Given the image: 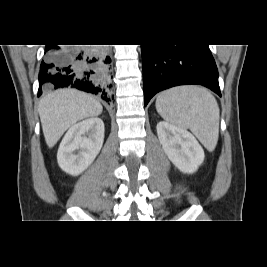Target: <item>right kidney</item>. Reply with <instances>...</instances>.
Instances as JSON below:
<instances>
[{
  "instance_id": "1",
  "label": "right kidney",
  "mask_w": 267,
  "mask_h": 267,
  "mask_svg": "<svg viewBox=\"0 0 267 267\" xmlns=\"http://www.w3.org/2000/svg\"><path fill=\"white\" fill-rule=\"evenodd\" d=\"M104 141V123L93 117L73 125L59 146L57 160L66 173L77 176L96 158Z\"/></svg>"
}]
</instances>
